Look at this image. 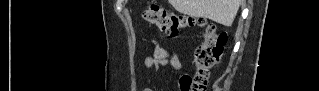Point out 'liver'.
Returning <instances> with one entry per match:
<instances>
[{"label":"liver","instance_id":"1","mask_svg":"<svg viewBox=\"0 0 319 91\" xmlns=\"http://www.w3.org/2000/svg\"><path fill=\"white\" fill-rule=\"evenodd\" d=\"M180 13L196 18H207L224 26H231L241 0H169Z\"/></svg>","mask_w":319,"mask_h":91}]
</instances>
